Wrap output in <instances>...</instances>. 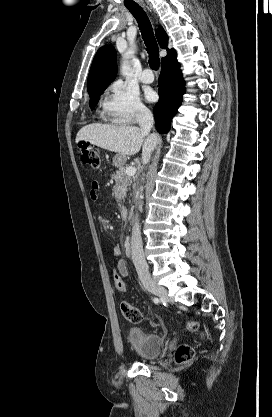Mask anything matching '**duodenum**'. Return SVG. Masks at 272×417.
Listing matches in <instances>:
<instances>
[{
    "mask_svg": "<svg viewBox=\"0 0 272 417\" xmlns=\"http://www.w3.org/2000/svg\"><path fill=\"white\" fill-rule=\"evenodd\" d=\"M120 213H121L123 218L127 219V217H128V208H127V206L122 205L120 207Z\"/></svg>",
    "mask_w": 272,
    "mask_h": 417,
    "instance_id": "1",
    "label": "duodenum"
}]
</instances>
